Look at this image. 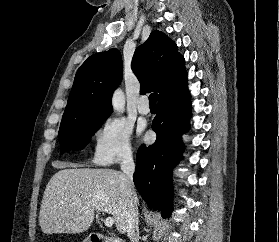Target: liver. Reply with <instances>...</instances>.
Segmentation results:
<instances>
[{
  "label": "liver",
  "instance_id": "liver-1",
  "mask_svg": "<svg viewBox=\"0 0 279 242\" xmlns=\"http://www.w3.org/2000/svg\"><path fill=\"white\" fill-rule=\"evenodd\" d=\"M60 167L43 194L39 213L42 232L82 233L91 226L94 211L100 210L111 214L117 230L124 234L129 200L127 176L112 169L77 168L74 164Z\"/></svg>",
  "mask_w": 279,
  "mask_h": 242
}]
</instances>
